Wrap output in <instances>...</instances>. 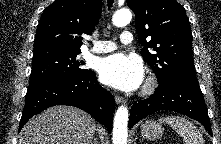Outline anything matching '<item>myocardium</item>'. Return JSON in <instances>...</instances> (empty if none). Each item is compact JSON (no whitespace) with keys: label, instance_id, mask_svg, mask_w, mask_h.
Instances as JSON below:
<instances>
[{"label":"myocardium","instance_id":"f54148a6","mask_svg":"<svg viewBox=\"0 0 221 144\" xmlns=\"http://www.w3.org/2000/svg\"><path fill=\"white\" fill-rule=\"evenodd\" d=\"M155 88H156L155 78L154 77H148L145 84H144L142 94L149 95L155 90Z\"/></svg>","mask_w":221,"mask_h":144}]
</instances>
